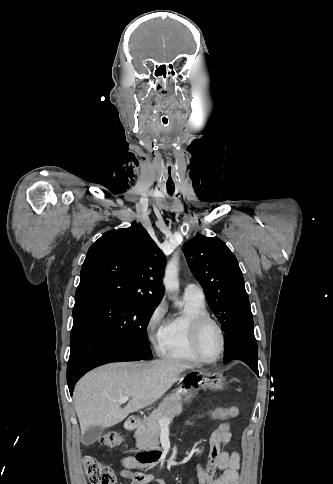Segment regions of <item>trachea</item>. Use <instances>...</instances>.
Wrapping results in <instances>:
<instances>
[{"label":"trachea","instance_id":"1","mask_svg":"<svg viewBox=\"0 0 333 484\" xmlns=\"http://www.w3.org/2000/svg\"><path fill=\"white\" fill-rule=\"evenodd\" d=\"M162 122H163V123L166 125V124L168 123V119H167V118H165V117H163V118H162Z\"/></svg>","mask_w":333,"mask_h":484}]
</instances>
